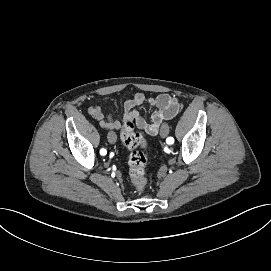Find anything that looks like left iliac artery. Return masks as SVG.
Wrapping results in <instances>:
<instances>
[{"mask_svg":"<svg viewBox=\"0 0 271 271\" xmlns=\"http://www.w3.org/2000/svg\"><path fill=\"white\" fill-rule=\"evenodd\" d=\"M166 141H167L168 144H172L174 142V138L173 137H169V138H167Z\"/></svg>","mask_w":271,"mask_h":271,"instance_id":"44dca946","label":"left iliac artery"}]
</instances>
